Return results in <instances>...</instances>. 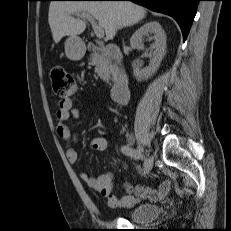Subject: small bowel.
<instances>
[{
    "instance_id": "obj_1",
    "label": "small bowel",
    "mask_w": 231,
    "mask_h": 231,
    "mask_svg": "<svg viewBox=\"0 0 231 231\" xmlns=\"http://www.w3.org/2000/svg\"><path fill=\"white\" fill-rule=\"evenodd\" d=\"M74 100L66 99L59 102L56 113L57 124L56 132L58 136L65 142L66 158L69 163L76 164L78 161V152L72 148V144L77 140V135L73 134L67 121L70 117L78 118L80 112L73 107ZM90 148L94 151H104L108 148V140L104 137H94L90 141ZM79 176L86 185L92 190L100 193L108 198V204L111 207H131L141 200L157 201L165 198L171 188V181H163L157 189L138 185L135 188L126 185L127 193L123 196L113 194V174L104 173L98 177H92L87 172L81 171Z\"/></svg>"
}]
</instances>
